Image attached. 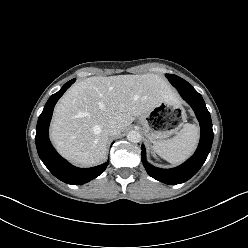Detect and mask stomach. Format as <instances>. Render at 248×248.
<instances>
[{
  "label": "stomach",
  "mask_w": 248,
  "mask_h": 248,
  "mask_svg": "<svg viewBox=\"0 0 248 248\" xmlns=\"http://www.w3.org/2000/svg\"><path fill=\"white\" fill-rule=\"evenodd\" d=\"M186 119L185 110L176 102H162L149 113L140 117L146 138L149 142L162 141L173 134L178 127L173 128V123Z\"/></svg>",
  "instance_id": "1"
}]
</instances>
